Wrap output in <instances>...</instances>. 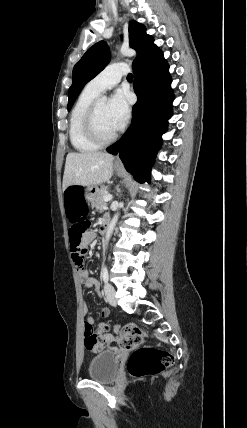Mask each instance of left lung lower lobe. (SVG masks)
Returning a JSON list of instances; mask_svg holds the SVG:
<instances>
[{
	"label": "left lung lower lobe",
	"instance_id": "1",
	"mask_svg": "<svg viewBox=\"0 0 247 428\" xmlns=\"http://www.w3.org/2000/svg\"><path fill=\"white\" fill-rule=\"evenodd\" d=\"M134 91L138 97L133 106L132 122L119 143L107 151L120 156L125 168L138 182H149L151 166L162 144L168 119L172 116L174 95L169 66L159 51L134 68Z\"/></svg>",
	"mask_w": 247,
	"mask_h": 428
}]
</instances>
